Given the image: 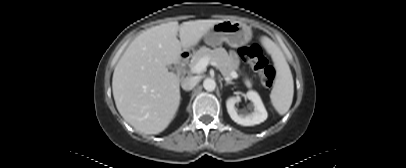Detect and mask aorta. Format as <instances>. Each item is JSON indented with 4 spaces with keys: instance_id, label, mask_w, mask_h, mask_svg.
<instances>
[{
    "instance_id": "obj_1",
    "label": "aorta",
    "mask_w": 406,
    "mask_h": 168,
    "mask_svg": "<svg viewBox=\"0 0 406 168\" xmlns=\"http://www.w3.org/2000/svg\"><path fill=\"white\" fill-rule=\"evenodd\" d=\"M203 87L206 91H214L216 88V82L211 78H207L203 82Z\"/></svg>"
}]
</instances>
